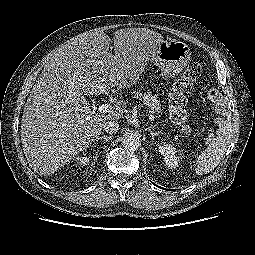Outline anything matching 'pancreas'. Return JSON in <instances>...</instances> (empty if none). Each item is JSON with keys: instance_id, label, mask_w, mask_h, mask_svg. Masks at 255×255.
I'll list each match as a JSON object with an SVG mask.
<instances>
[{"instance_id": "cf45deb5", "label": "pancreas", "mask_w": 255, "mask_h": 255, "mask_svg": "<svg viewBox=\"0 0 255 255\" xmlns=\"http://www.w3.org/2000/svg\"><path fill=\"white\" fill-rule=\"evenodd\" d=\"M133 97L135 99H139L143 102V104L147 105L153 113L157 115L161 111V103L158 99L157 95H153L151 92H142V90L134 91Z\"/></svg>"}]
</instances>
